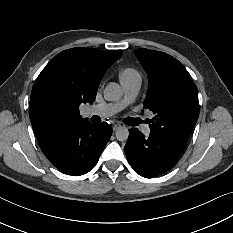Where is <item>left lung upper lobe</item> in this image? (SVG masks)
<instances>
[{
	"label": "left lung upper lobe",
	"instance_id": "5c2ea615",
	"mask_svg": "<svg viewBox=\"0 0 233 233\" xmlns=\"http://www.w3.org/2000/svg\"><path fill=\"white\" fill-rule=\"evenodd\" d=\"M135 54L148 74L144 108L155 114L150 133L187 141L199 116L197 87L190 74L166 53L142 48Z\"/></svg>",
	"mask_w": 233,
	"mask_h": 233
}]
</instances>
